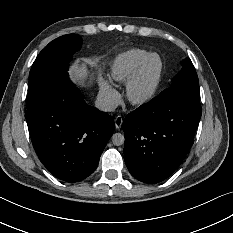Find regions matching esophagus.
<instances>
[{"instance_id": "1", "label": "esophagus", "mask_w": 233, "mask_h": 233, "mask_svg": "<svg viewBox=\"0 0 233 233\" xmlns=\"http://www.w3.org/2000/svg\"><path fill=\"white\" fill-rule=\"evenodd\" d=\"M122 121H123V119H122V116H117L116 118H115V127L117 128V129H120L121 128V126H122Z\"/></svg>"}]
</instances>
